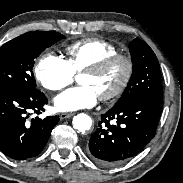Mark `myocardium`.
Listing matches in <instances>:
<instances>
[{"mask_svg": "<svg viewBox=\"0 0 183 183\" xmlns=\"http://www.w3.org/2000/svg\"><path fill=\"white\" fill-rule=\"evenodd\" d=\"M117 62L124 63V65H125L124 76H123L120 84L115 89H113L109 93L99 96L101 101H104V102L112 101V100L120 97L124 93V91L129 86L132 76H133V72H134L133 60L126 54L115 53L111 56H108V57L100 60L99 62L91 65L90 67H88L82 71L84 74L98 75V74H101L104 71L108 70L110 67H112Z\"/></svg>", "mask_w": 183, "mask_h": 183, "instance_id": "obj_1", "label": "myocardium"}]
</instances>
